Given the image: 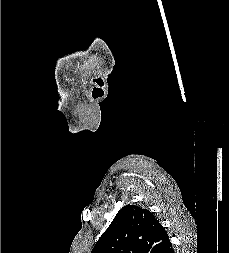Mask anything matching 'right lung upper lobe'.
Masks as SVG:
<instances>
[{"label":"right lung upper lobe","mask_w":229,"mask_h":253,"mask_svg":"<svg viewBox=\"0 0 229 253\" xmlns=\"http://www.w3.org/2000/svg\"><path fill=\"white\" fill-rule=\"evenodd\" d=\"M168 234L147 209L124 206L91 253H160L170 244Z\"/></svg>","instance_id":"obj_1"}]
</instances>
